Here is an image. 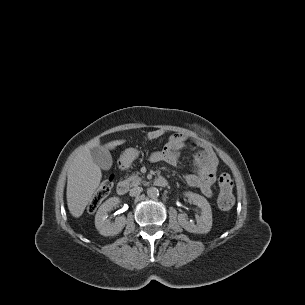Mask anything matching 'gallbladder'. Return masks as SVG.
<instances>
[{
  "label": "gallbladder",
  "mask_w": 305,
  "mask_h": 305,
  "mask_svg": "<svg viewBox=\"0 0 305 305\" xmlns=\"http://www.w3.org/2000/svg\"><path fill=\"white\" fill-rule=\"evenodd\" d=\"M93 161L102 169L109 170L113 164L112 156L104 146H97L90 149Z\"/></svg>",
  "instance_id": "1"
}]
</instances>
